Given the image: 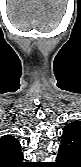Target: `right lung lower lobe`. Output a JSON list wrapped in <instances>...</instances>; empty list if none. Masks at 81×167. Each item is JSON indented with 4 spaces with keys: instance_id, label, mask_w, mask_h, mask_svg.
Returning <instances> with one entry per match:
<instances>
[{
    "instance_id": "1",
    "label": "right lung lower lobe",
    "mask_w": 81,
    "mask_h": 167,
    "mask_svg": "<svg viewBox=\"0 0 81 167\" xmlns=\"http://www.w3.org/2000/svg\"><path fill=\"white\" fill-rule=\"evenodd\" d=\"M25 166H27V165H21L20 167H25Z\"/></svg>"
}]
</instances>
